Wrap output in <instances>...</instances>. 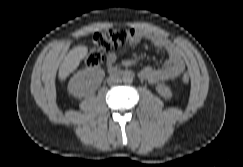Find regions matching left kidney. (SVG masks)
Masks as SVG:
<instances>
[{"mask_svg":"<svg viewBox=\"0 0 243 167\" xmlns=\"http://www.w3.org/2000/svg\"><path fill=\"white\" fill-rule=\"evenodd\" d=\"M156 91L165 99H170L172 97V91L166 85H162V84L157 85Z\"/></svg>","mask_w":243,"mask_h":167,"instance_id":"5707ae66","label":"left kidney"}]
</instances>
